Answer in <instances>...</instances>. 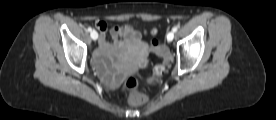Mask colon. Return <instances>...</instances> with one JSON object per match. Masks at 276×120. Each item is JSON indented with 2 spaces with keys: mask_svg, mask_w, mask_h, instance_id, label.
Listing matches in <instances>:
<instances>
[{
  "mask_svg": "<svg viewBox=\"0 0 276 120\" xmlns=\"http://www.w3.org/2000/svg\"><path fill=\"white\" fill-rule=\"evenodd\" d=\"M154 32L155 31H152V33ZM151 47L155 50L156 53H158L165 59L169 57L168 51L164 48L159 47L156 42H152ZM163 72L164 66L162 64L156 65L153 69V78L159 77ZM138 84V79L135 76L131 75L125 80L122 89L124 93L128 95L133 104L143 105L147 102L148 99L146 96L137 93Z\"/></svg>",
  "mask_w": 276,
  "mask_h": 120,
  "instance_id": "1",
  "label": "colon"
}]
</instances>
